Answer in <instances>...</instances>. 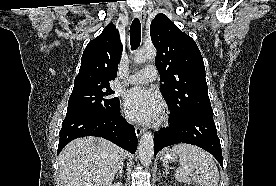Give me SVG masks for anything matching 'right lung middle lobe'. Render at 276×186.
Here are the masks:
<instances>
[{
    "label": "right lung middle lobe",
    "mask_w": 276,
    "mask_h": 186,
    "mask_svg": "<svg viewBox=\"0 0 276 186\" xmlns=\"http://www.w3.org/2000/svg\"><path fill=\"white\" fill-rule=\"evenodd\" d=\"M109 85L73 88L66 116L80 113L109 114L119 106V99Z\"/></svg>",
    "instance_id": "1"
}]
</instances>
